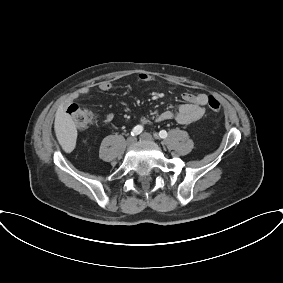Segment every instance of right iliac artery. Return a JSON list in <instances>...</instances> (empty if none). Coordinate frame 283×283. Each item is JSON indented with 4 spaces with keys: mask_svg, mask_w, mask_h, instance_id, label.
Wrapping results in <instances>:
<instances>
[{
    "mask_svg": "<svg viewBox=\"0 0 283 283\" xmlns=\"http://www.w3.org/2000/svg\"><path fill=\"white\" fill-rule=\"evenodd\" d=\"M143 131V127L141 125H137L133 128V130L131 131V135L132 136H137L139 135L141 132Z\"/></svg>",
    "mask_w": 283,
    "mask_h": 283,
    "instance_id": "obj_1",
    "label": "right iliac artery"
}]
</instances>
